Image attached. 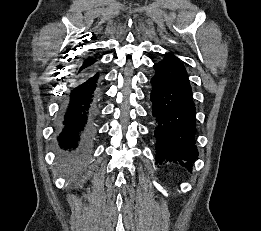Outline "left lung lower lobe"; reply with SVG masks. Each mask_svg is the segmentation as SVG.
I'll list each match as a JSON object with an SVG mask.
<instances>
[{"mask_svg":"<svg viewBox=\"0 0 261 231\" xmlns=\"http://www.w3.org/2000/svg\"><path fill=\"white\" fill-rule=\"evenodd\" d=\"M154 69L150 98L155 120L156 164L173 162L192 171L198 150L195 104L187 71L167 55Z\"/></svg>","mask_w":261,"mask_h":231,"instance_id":"left-lung-lower-lobe-1","label":"left lung lower lobe"}]
</instances>
